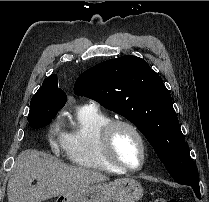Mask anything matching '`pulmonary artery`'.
<instances>
[{
    "label": "pulmonary artery",
    "instance_id": "obj_1",
    "mask_svg": "<svg viewBox=\"0 0 209 202\" xmlns=\"http://www.w3.org/2000/svg\"><path fill=\"white\" fill-rule=\"evenodd\" d=\"M94 105V102H90L89 104H88V106H93Z\"/></svg>",
    "mask_w": 209,
    "mask_h": 202
}]
</instances>
